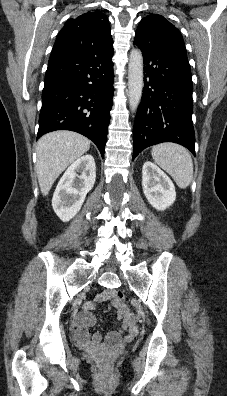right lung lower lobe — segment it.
I'll use <instances>...</instances> for the list:
<instances>
[{
	"instance_id": "right-lung-lower-lobe-1",
	"label": "right lung lower lobe",
	"mask_w": 227,
	"mask_h": 396,
	"mask_svg": "<svg viewBox=\"0 0 227 396\" xmlns=\"http://www.w3.org/2000/svg\"><path fill=\"white\" fill-rule=\"evenodd\" d=\"M112 45L49 62L37 139L71 130L92 140L104 156L114 93Z\"/></svg>"
}]
</instances>
